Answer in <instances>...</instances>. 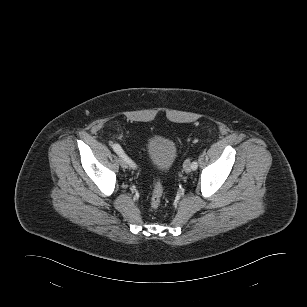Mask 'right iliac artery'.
Listing matches in <instances>:
<instances>
[{"label":"right iliac artery","mask_w":307,"mask_h":307,"mask_svg":"<svg viewBox=\"0 0 307 307\" xmlns=\"http://www.w3.org/2000/svg\"><path fill=\"white\" fill-rule=\"evenodd\" d=\"M113 150L122 158H124L127 163L135 168L136 164L124 153L123 149L121 148V146L119 144H113Z\"/></svg>","instance_id":"1"}]
</instances>
